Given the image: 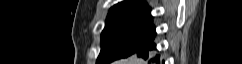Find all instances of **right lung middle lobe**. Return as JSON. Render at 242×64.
Masks as SVG:
<instances>
[{"mask_svg":"<svg viewBox=\"0 0 242 64\" xmlns=\"http://www.w3.org/2000/svg\"><path fill=\"white\" fill-rule=\"evenodd\" d=\"M156 31L150 13L117 14L107 18L101 35V52L97 64L128 57L147 46Z\"/></svg>","mask_w":242,"mask_h":64,"instance_id":"right-lung-middle-lobe-1","label":"right lung middle lobe"}]
</instances>
